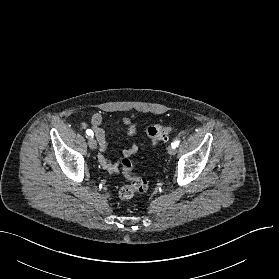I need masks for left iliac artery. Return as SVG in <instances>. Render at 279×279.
<instances>
[{
    "label": "left iliac artery",
    "instance_id": "44dca946",
    "mask_svg": "<svg viewBox=\"0 0 279 279\" xmlns=\"http://www.w3.org/2000/svg\"><path fill=\"white\" fill-rule=\"evenodd\" d=\"M179 140L174 141L171 145L173 148H176L179 145Z\"/></svg>",
    "mask_w": 279,
    "mask_h": 279
}]
</instances>
